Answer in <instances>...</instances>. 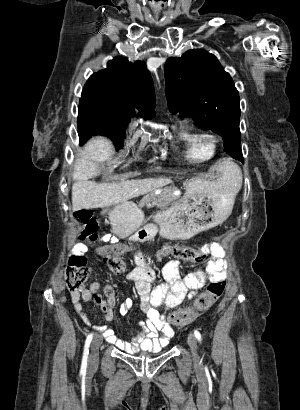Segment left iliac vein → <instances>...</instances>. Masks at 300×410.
I'll list each match as a JSON object with an SVG mask.
<instances>
[{
  "label": "left iliac vein",
  "mask_w": 300,
  "mask_h": 410,
  "mask_svg": "<svg viewBox=\"0 0 300 410\" xmlns=\"http://www.w3.org/2000/svg\"><path fill=\"white\" fill-rule=\"evenodd\" d=\"M187 340L191 350L192 359L194 363L197 364L199 362L197 339L194 334L190 333Z\"/></svg>",
  "instance_id": "1"
}]
</instances>
